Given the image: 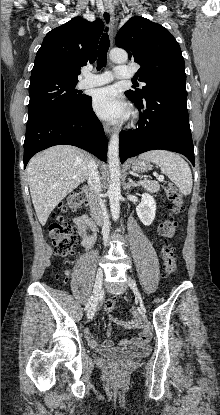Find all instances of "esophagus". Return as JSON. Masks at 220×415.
I'll use <instances>...</instances> for the list:
<instances>
[{"mask_svg":"<svg viewBox=\"0 0 220 415\" xmlns=\"http://www.w3.org/2000/svg\"><path fill=\"white\" fill-rule=\"evenodd\" d=\"M105 10L110 15L109 21V35L111 40L113 39V29H114V9L111 4H105ZM104 131L109 134L111 132V127L108 123H104Z\"/></svg>","mask_w":220,"mask_h":415,"instance_id":"1","label":"esophagus"}]
</instances>
